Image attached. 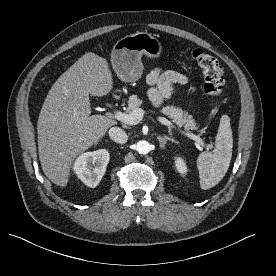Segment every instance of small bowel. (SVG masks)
Instances as JSON below:
<instances>
[{
    "mask_svg": "<svg viewBox=\"0 0 276 276\" xmlns=\"http://www.w3.org/2000/svg\"><path fill=\"white\" fill-rule=\"evenodd\" d=\"M187 82L186 76L177 71L154 69L147 76L150 99L156 106H160L170 97L174 85H185Z\"/></svg>",
    "mask_w": 276,
    "mask_h": 276,
    "instance_id": "1",
    "label": "small bowel"
}]
</instances>
